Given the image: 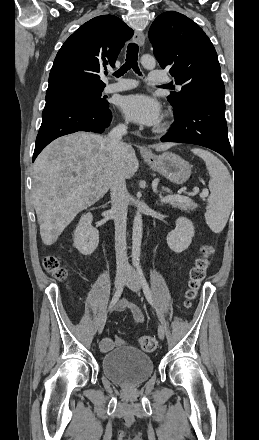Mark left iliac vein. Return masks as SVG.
Wrapping results in <instances>:
<instances>
[{
  "instance_id": "obj_1",
  "label": "left iliac vein",
  "mask_w": 259,
  "mask_h": 440,
  "mask_svg": "<svg viewBox=\"0 0 259 440\" xmlns=\"http://www.w3.org/2000/svg\"><path fill=\"white\" fill-rule=\"evenodd\" d=\"M127 285L135 292L141 291V282L138 277V275L135 273V271L132 268L128 269V277H127ZM158 336L161 340L165 337V330L163 325H158Z\"/></svg>"
}]
</instances>
